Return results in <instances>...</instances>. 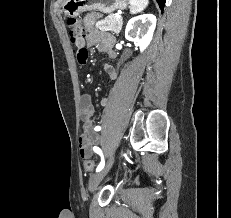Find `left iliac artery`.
Here are the masks:
<instances>
[{
    "mask_svg": "<svg viewBox=\"0 0 231 218\" xmlns=\"http://www.w3.org/2000/svg\"><path fill=\"white\" fill-rule=\"evenodd\" d=\"M94 130H95V131H100V130H101V126H96V127L94 128ZM93 150H94L95 153L99 154V155L101 156V158H102L100 164L98 165V167H97V169H96V172H99V171H101V170L104 168L105 161H104V158H103L102 151L100 150L99 147L94 146V147H93Z\"/></svg>",
    "mask_w": 231,
    "mask_h": 218,
    "instance_id": "1",
    "label": "left iliac artery"
}]
</instances>
